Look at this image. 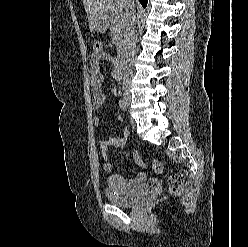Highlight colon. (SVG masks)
Returning <instances> with one entry per match:
<instances>
[{
  "label": "colon",
  "mask_w": 248,
  "mask_h": 247,
  "mask_svg": "<svg viewBox=\"0 0 248 247\" xmlns=\"http://www.w3.org/2000/svg\"><path fill=\"white\" fill-rule=\"evenodd\" d=\"M102 49H103L102 42L96 41L93 45L94 52H100L102 51ZM133 159L138 165L143 166V167L145 166V163L143 162L142 157L139 152L135 151L133 153ZM151 167H152V170L156 173H160L163 170L162 163L159 160H153L151 162ZM184 181H185V178L182 174L172 175V177L170 178V182H169L170 191L175 192L179 190L183 186Z\"/></svg>",
  "instance_id": "1"
}]
</instances>
